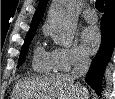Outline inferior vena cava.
I'll return each instance as SVG.
<instances>
[{"mask_svg": "<svg viewBox=\"0 0 115 99\" xmlns=\"http://www.w3.org/2000/svg\"><path fill=\"white\" fill-rule=\"evenodd\" d=\"M90 66V58L87 55L79 54L74 62L71 77L77 79L86 75Z\"/></svg>", "mask_w": 115, "mask_h": 99, "instance_id": "obj_1", "label": "inferior vena cava"}]
</instances>
